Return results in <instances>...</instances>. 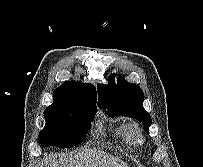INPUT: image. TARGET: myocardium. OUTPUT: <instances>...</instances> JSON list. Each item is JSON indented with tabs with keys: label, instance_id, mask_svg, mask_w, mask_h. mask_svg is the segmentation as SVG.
Masks as SVG:
<instances>
[{
	"label": "myocardium",
	"instance_id": "obj_1",
	"mask_svg": "<svg viewBox=\"0 0 203 167\" xmlns=\"http://www.w3.org/2000/svg\"><path fill=\"white\" fill-rule=\"evenodd\" d=\"M127 131L132 141H139L141 137V128L137 122H130L127 126Z\"/></svg>",
	"mask_w": 203,
	"mask_h": 167
}]
</instances>
